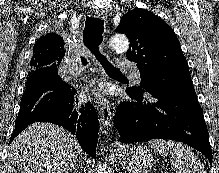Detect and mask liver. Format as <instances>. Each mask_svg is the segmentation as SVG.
Returning <instances> with one entry per match:
<instances>
[{
	"mask_svg": "<svg viewBox=\"0 0 219 173\" xmlns=\"http://www.w3.org/2000/svg\"><path fill=\"white\" fill-rule=\"evenodd\" d=\"M80 153L78 140L63 127L34 123L11 143L3 173H63Z\"/></svg>",
	"mask_w": 219,
	"mask_h": 173,
	"instance_id": "obj_1",
	"label": "liver"
}]
</instances>
